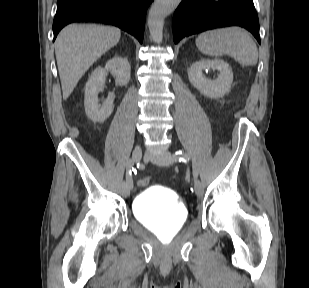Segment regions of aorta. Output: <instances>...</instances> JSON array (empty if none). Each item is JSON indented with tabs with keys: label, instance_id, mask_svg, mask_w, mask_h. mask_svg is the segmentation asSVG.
<instances>
[{
	"label": "aorta",
	"instance_id": "762f6f07",
	"mask_svg": "<svg viewBox=\"0 0 309 288\" xmlns=\"http://www.w3.org/2000/svg\"><path fill=\"white\" fill-rule=\"evenodd\" d=\"M181 0H155L148 15L150 35L156 43L163 39V26L165 18L180 4Z\"/></svg>",
	"mask_w": 309,
	"mask_h": 288
}]
</instances>
